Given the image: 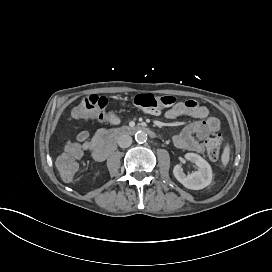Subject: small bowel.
Segmentation results:
<instances>
[{
    "instance_id": "c3829d8e",
    "label": "small bowel",
    "mask_w": 272,
    "mask_h": 272,
    "mask_svg": "<svg viewBox=\"0 0 272 272\" xmlns=\"http://www.w3.org/2000/svg\"><path fill=\"white\" fill-rule=\"evenodd\" d=\"M182 116H189L197 120L188 123L181 132L173 136L172 140L174 146L181 150L204 153L207 151V134L211 132L218 133L221 130L219 119L210 116L209 109L200 105L195 100L177 102L165 111V117L167 119H175ZM100 132L93 140H90L87 131H80L77 134L78 143L72 147L78 148L81 156L84 152L89 153L92 156L93 151L97 146ZM195 135L198 139L195 138Z\"/></svg>"
}]
</instances>
